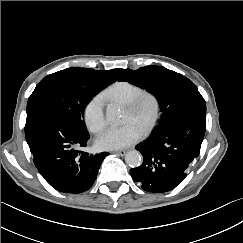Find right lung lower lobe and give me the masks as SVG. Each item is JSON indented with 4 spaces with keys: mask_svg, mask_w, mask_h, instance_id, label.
I'll return each mask as SVG.
<instances>
[{
    "mask_svg": "<svg viewBox=\"0 0 243 243\" xmlns=\"http://www.w3.org/2000/svg\"><path fill=\"white\" fill-rule=\"evenodd\" d=\"M25 136L39 173L57 191L77 194L91 188L103 159L78 151L89 133H81L61 113L46 107L27 109Z\"/></svg>",
    "mask_w": 243,
    "mask_h": 243,
    "instance_id": "1",
    "label": "right lung lower lobe"
}]
</instances>
